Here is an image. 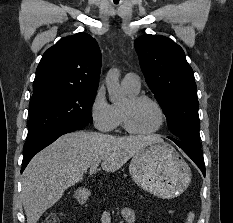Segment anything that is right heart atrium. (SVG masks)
<instances>
[{"mask_svg":"<svg viewBox=\"0 0 233 223\" xmlns=\"http://www.w3.org/2000/svg\"><path fill=\"white\" fill-rule=\"evenodd\" d=\"M89 112L91 120L98 130L111 132L117 127L114 107L106 100L102 89L94 95Z\"/></svg>","mask_w":233,"mask_h":223,"instance_id":"1","label":"right heart atrium"}]
</instances>
